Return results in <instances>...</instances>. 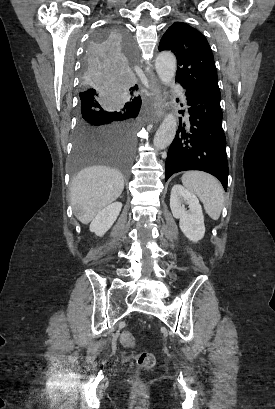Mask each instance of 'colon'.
Here are the masks:
<instances>
[{
  "instance_id": "1",
  "label": "colon",
  "mask_w": 275,
  "mask_h": 409,
  "mask_svg": "<svg viewBox=\"0 0 275 409\" xmlns=\"http://www.w3.org/2000/svg\"><path fill=\"white\" fill-rule=\"evenodd\" d=\"M119 342L123 348L133 349L136 345L135 336L132 332L126 330L122 331L119 335ZM133 359L136 365L141 370H149L154 366L155 359L150 352H138L134 354Z\"/></svg>"
}]
</instances>
